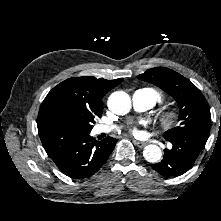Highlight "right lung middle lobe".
<instances>
[{
	"instance_id": "obj_1",
	"label": "right lung middle lobe",
	"mask_w": 221,
	"mask_h": 221,
	"mask_svg": "<svg viewBox=\"0 0 221 221\" xmlns=\"http://www.w3.org/2000/svg\"><path fill=\"white\" fill-rule=\"evenodd\" d=\"M95 117L91 116H74L61 120L58 124L71 128L81 133H90L95 123Z\"/></svg>"
}]
</instances>
